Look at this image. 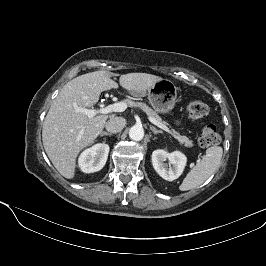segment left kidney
<instances>
[{"mask_svg":"<svg viewBox=\"0 0 266 266\" xmlns=\"http://www.w3.org/2000/svg\"><path fill=\"white\" fill-rule=\"evenodd\" d=\"M167 160L168 162H166ZM186 162V156L179 151L168 153L165 150H155L152 153V164L155 171L167 181L177 179L182 174Z\"/></svg>","mask_w":266,"mask_h":266,"instance_id":"left-kidney-1","label":"left kidney"}]
</instances>
